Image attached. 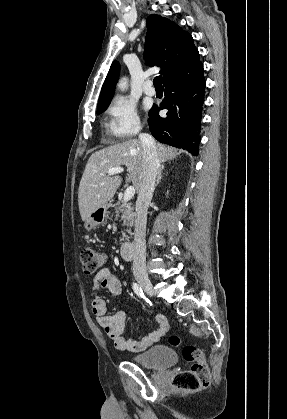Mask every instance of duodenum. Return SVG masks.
Listing matches in <instances>:
<instances>
[{
    "label": "duodenum",
    "instance_id": "duodenum-1",
    "mask_svg": "<svg viewBox=\"0 0 287 419\" xmlns=\"http://www.w3.org/2000/svg\"><path fill=\"white\" fill-rule=\"evenodd\" d=\"M120 255L124 260H132L135 256V249L132 242L125 241L120 247Z\"/></svg>",
    "mask_w": 287,
    "mask_h": 419
}]
</instances>
